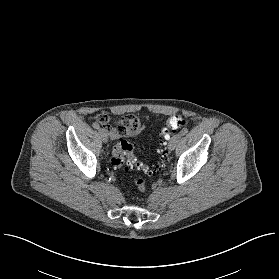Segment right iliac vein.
<instances>
[{"label": "right iliac vein", "instance_id": "63e3f726", "mask_svg": "<svg viewBox=\"0 0 279 279\" xmlns=\"http://www.w3.org/2000/svg\"><path fill=\"white\" fill-rule=\"evenodd\" d=\"M99 133L101 135V138H102V141L104 143H106L108 141V135H107V132L104 130V129H100L99 130Z\"/></svg>", "mask_w": 279, "mask_h": 279}]
</instances>
